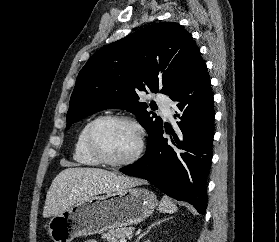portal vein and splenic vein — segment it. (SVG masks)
<instances>
[{
	"label": "portal vein and splenic vein",
	"mask_w": 279,
	"mask_h": 242,
	"mask_svg": "<svg viewBox=\"0 0 279 242\" xmlns=\"http://www.w3.org/2000/svg\"><path fill=\"white\" fill-rule=\"evenodd\" d=\"M120 242H127V240H125V239H121V240H120Z\"/></svg>",
	"instance_id": "obj_1"
}]
</instances>
